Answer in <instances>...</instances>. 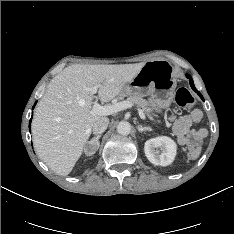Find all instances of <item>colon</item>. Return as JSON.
I'll return each mask as SVG.
<instances>
[{
	"mask_svg": "<svg viewBox=\"0 0 234 234\" xmlns=\"http://www.w3.org/2000/svg\"><path fill=\"white\" fill-rule=\"evenodd\" d=\"M175 101L178 106L188 108L194 104L195 98L187 88L181 87L175 93ZM200 153L201 148L198 145H191L188 149V157L190 159L198 158Z\"/></svg>",
	"mask_w": 234,
	"mask_h": 234,
	"instance_id": "obj_1",
	"label": "colon"
}]
</instances>
